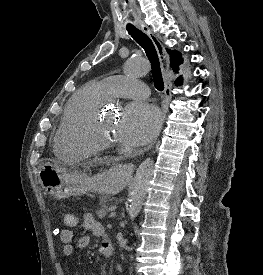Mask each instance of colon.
<instances>
[{"label": "colon", "mask_w": 263, "mask_h": 275, "mask_svg": "<svg viewBox=\"0 0 263 275\" xmlns=\"http://www.w3.org/2000/svg\"><path fill=\"white\" fill-rule=\"evenodd\" d=\"M63 221L67 227H75L78 224V218L73 213H66L63 217Z\"/></svg>", "instance_id": "5ec220e1"}]
</instances>
